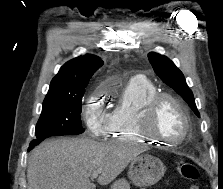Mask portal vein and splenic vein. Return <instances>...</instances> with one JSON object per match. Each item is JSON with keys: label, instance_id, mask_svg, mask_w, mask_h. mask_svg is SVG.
<instances>
[{"label": "portal vein and splenic vein", "instance_id": "1", "mask_svg": "<svg viewBox=\"0 0 223 189\" xmlns=\"http://www.w3.org/2000/svg\"><path fill=\"white\" fill-rule=\"evenodd\" d=\"M99 173H100V171H94V172L92 173V175H91V179H95V178H97L98 175H99Z\"/></svg>", "mask_w": 223, "mask_h": 189}]
</instances>
